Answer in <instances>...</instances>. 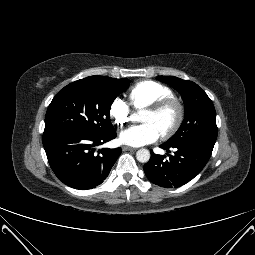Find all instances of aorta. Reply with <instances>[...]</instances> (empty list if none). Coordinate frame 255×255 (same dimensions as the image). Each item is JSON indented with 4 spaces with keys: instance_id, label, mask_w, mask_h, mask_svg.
<instances>
[{
    "instance_id": "1",
    "label": "aorta",
    "mask_w": 255,
    "mask_h": 255,
    "mask_svg": "<svg viewBox=\"0 0 255 255\" xmlns=\"http://www.w3.org/2000/svg\"><path fill=\"white\" fill-rule=\"evenodd\" d=\"M137 120L139 119V115L138 114H135L134 116ZM150 152L149 150L147 149H139L137 152H136V158L139 162L141 163H147L150 159Z\"/></svg>"
}]
</instances>
